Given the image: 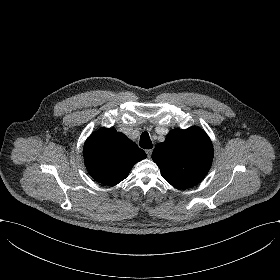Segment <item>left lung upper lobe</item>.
Instances as JSON below:
<instances>
[{"instance_id": "1", "label": "left lung upper lobe", "mask_w": 280, "mask_h": 280, "mask_svg": "<svg viewBox=\"0 0 280 280\" xmlns=\"http://www.w3.org/2000/svg\"><path fill=\"white\" fill-rule=\"evenodd\" d=\"M162 177L172 186L185 189L199 183L209 171L213 146L207 134L198 127L174 129L152 154Z\"/></svg>"}]
</instances>
